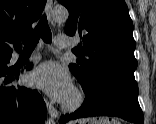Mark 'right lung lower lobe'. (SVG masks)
Listing matches in <instances>:
<instances>
[{"label": "right lung lower lobe", "instance_id": "98d812e1", "mask_svg": "<svg viewBox=\"0 0 156 124\" xmlns=\"http://www.w3.org/2000/svg\"><path fill=\"white\" fill-rule=\"evenodd\" d=\"M11 54L0 56V124H43L46 107L40 94L12 85L14 74L7 67ZM31 67L32 64H28L26 69Z\"/></svg>", "mask_w": 156, "mask_h": 124}]
</instances>
